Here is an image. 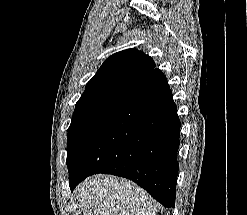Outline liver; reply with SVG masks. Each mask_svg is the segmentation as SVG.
Listing matches in <instances>:
<instances>
[{"label": "liver", "instance_id": "liver-1", "mask_svg": "<svg viewBox=\"0 0 247 215\" xmlns=\"http://www.w3.org/2000/svg\"><path fill=\"white\" fill-rule=\"evenodd\" d=\"M75 192L84 215H157L143 189L115 176H92Z\"/></svg>", "mask_w": 247, "mask_h": 215}]
</instances>
